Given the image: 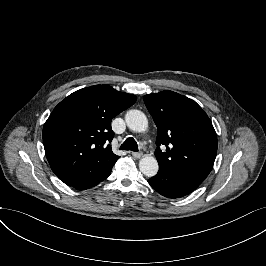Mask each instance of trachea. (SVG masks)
I'll use <instances>...</instances> for the list:
<instances>
[{"instance_id":"obj_1","label":"trachea","mask_w":266,"mask_h":266,"mask_svg":"<svg viewBox=\"0 0 266 266\" xmlns=\"http://www.w3.org/2000/svg\"><path fill=\"white\" fill-rule=\"evenodd\" d=\"M121 150H131L134 152L138 151V145L137 142L133 138H128L121 146Z\"/></svg>"}]
</instances>
